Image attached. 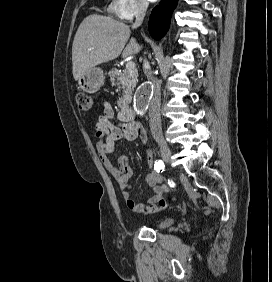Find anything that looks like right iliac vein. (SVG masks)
<instances>
[{
  "label": "right iliac vein",
  "mask_w": 272,
  "mask_h": 282,
  "mask_svg": "<svg viewBox=\"0 0 272 282\" xmlns=\"http://www.w3.org/2000/svg\"><path fill=\"white\" fill-rule=\"evenodd\" d=\"M158 145H159V148H160V153H161L162 159L166 163H170L171 162V150H170L169 146L164 141H159Z\"/></svg>",
  "instance_id": "obj_1"
}]
</instances>
